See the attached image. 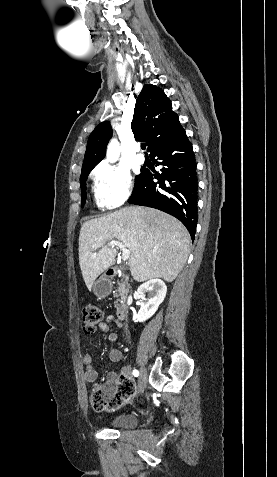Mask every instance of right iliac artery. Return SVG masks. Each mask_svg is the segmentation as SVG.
I'll return each mask as SVG.
<instances>
[{
    "label": "right iliac artery",
    "instance_id": "1",
    "mask_svg": "<svg viewBox=\"0 0 277 477\" xmlns=\"http://www.w3.org/2000/svg\"><path fill=\"white\" fill-rule=\"evenodd\" d=\"M133 375H134L135 377H138V375H139L138 370H134V371H133Z\"/></svg>",
    "mask_w": 277,
    "mask_h": 477
}]
</instances>
